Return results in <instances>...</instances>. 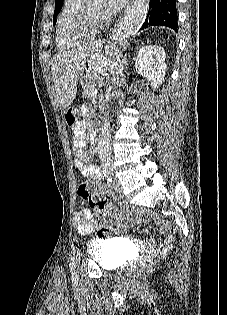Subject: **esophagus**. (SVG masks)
I'll use <instances>...</instances> for the list:
<instances>
[{
	"label": "esophagus",
	"instance_id": "1",
	"mask_svg": "<svg viewBox=\"0 0 227 315\" xmlns=\"http://www.w3.org/2000/svg\"><path fill=\"white\" fill-rule=\"evenodd\" d=\"M117 28H118V25H116L113 29V33H112V37H116V33H117Z\"/></svg>",
	"mask_w": 227,
	"mask_h": 315
}]
</instances>
